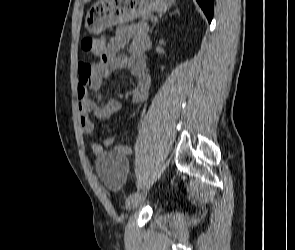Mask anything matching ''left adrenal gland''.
Listing matches in <instances>:
<instances>
[{
  "label": "left adrenal gland",
  "instance_id": "left-adrenal-gland-1",
  "mask_svg": "<svg viewBox=\"0 0 295 250\" xmlns=\"http://www.w3.org/2000/svg\"><path fill=\"white\" fill-rule=\"evenodd\" d=\"M175 13L178 14V15L180 14L178 9H176ZM155 25H156V22L154 23L152 29L154 28ZM152 29H151V30H152Z\"/></svg>",
  "mask_w": 295,
  "mask_h": 250
}]
</instances>
